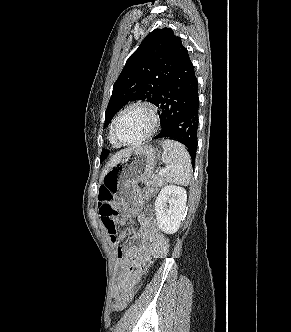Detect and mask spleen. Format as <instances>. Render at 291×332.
Segmentation results:
<instances>
[{
	"label": "spleen",
	"mask_w": 291,
	"mask_h": 332,
	"mask_svg": "<svg viewBox=\"0 0 291 332\" xmlns=\"http://www.w3.org/2000/svg\"><path fill=\"white\" fill-rule=\"evenodd\" d=\"M162 161L168 165L165 179L169 183L188 185L191 179V158L185 146L174 140L162 142Z\"/></svg>",
	"instance_id": "spleen-1"
}]
</instances>
